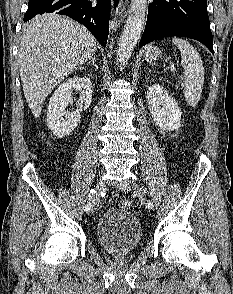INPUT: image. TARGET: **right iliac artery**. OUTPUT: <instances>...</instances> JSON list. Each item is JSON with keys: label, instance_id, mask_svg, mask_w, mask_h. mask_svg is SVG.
Here are the masks:
<instances>
[{"label": "right iliac artery", "instance_id": "1", "mask_svg": "<svg viewBox=\"0 0 233 294\" xmlns=\"http://www.w3.org/2000/svg\"><path fill=\"white\" fill-rule=\"evenodd\" d=\"M95 193H96V190L95 189H91L90 190V193H89V196H88V200H89V202L87 203V205H86V208H85V210H86V212L88 213L89 211H90V209H91V201H93V199H94V197H95Z\"/></svg>", "mask_w": 233, "mask_h": 294}]
</instances>
